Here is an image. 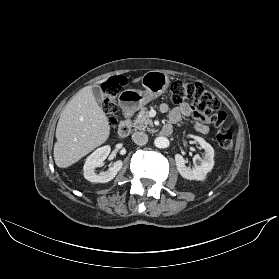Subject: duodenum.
Wrapping results in <instances>:
<instances>
[{
	"instance_id": "1",
	"label": "duodenum",
	"mask_w": 279,
	"mask_h": 279,
	"mask_svg": "<svg viewBox=\"0 0 279 279\" xmlns=\"http://www.w3.org/2000/svg\"><path fill=\"white\" fill-rule=\"evenodd\" d=\"M131 113L129 111H125L124 119L121 121V123L118 126V134L120 137H126L131 129ZM172 134V126L166 125L161 129V135L162 136H169Z\"/></svg>"
}]
</instances>
